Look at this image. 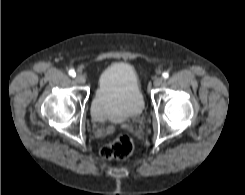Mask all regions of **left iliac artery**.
<instances>
[{
  "label": "left iliac artery",
  "mask_w": 245,
  "mask_h": 195,
  "mask_svg": "<svg viewBox=\"0 0 245 195\" xmlns=\"http://www.w3.org/2000/svg\"><path fill=\"white\" fill-rule=\"evenodd\" d=\"M162 76H163V78L167 79V78L169 77V74H168L167 72H164V73L162 74Z\"/></svg>",
  "instance_id": "left-iliac-artery-1"
}]
</instances>
